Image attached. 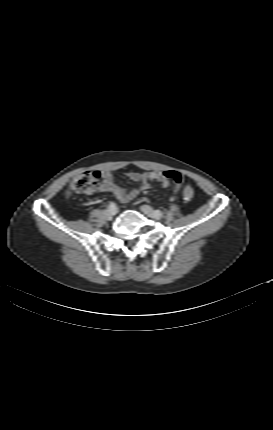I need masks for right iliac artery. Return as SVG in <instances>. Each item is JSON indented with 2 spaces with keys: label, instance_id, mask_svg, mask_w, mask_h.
Wrapping results in <instances>:
<instances>
[{
  "label": "right iliac artery",
  "instance_id": "1",
  "mask_svg": "<svg viewBox=\"0 0 273 430\" xmlns=\"http://www.w3.org/2000/svg\"><path fill=\"white\" fill-rule=\"evenodd\" d=\"M108 208L109 209H115L116 208V204L114 202H110Z\"/></svg>",
  "mask_w": 273,
  "mask_h": 430
}]
</instances>
